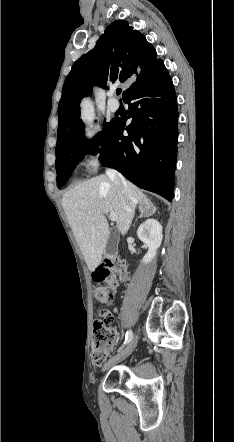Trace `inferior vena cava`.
I'll return each instance as SVG.
<instances>
[{
  "mask_svg": "<svg viewBox=\"0 0 234 442\" xmlns=\"http://www.w3.org/2000/svg\"><path fill=\"white\" fill-rule=\"evenodd\" d=\"M106 174L116 185L126 187V181L124 177L117 170L107 169Z\"/></svg>",
  "mask_w": 234,
  "mask_h": 442,
  "instance_id": "602c4592",
  "label": "inferior vena cava"
}]
</instances>
